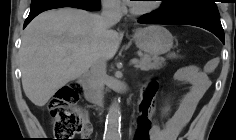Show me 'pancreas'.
<instances>
[{
	"instance_id": "1",
	"label": "pancreas",
	"mask_w": 236,
	"mask_h": 140,
	"mask_svg": "<svg viewBox=\"0 0 236 140\" xmlns=\"http://www.w3.org/2000/svg\"><path fill=\"white\" fill-rule=\"evenodd\" d=\"M164 63V58L144 54L136 64V67L141 70L160 69Z\"/></svg>"
}]
</instances>
